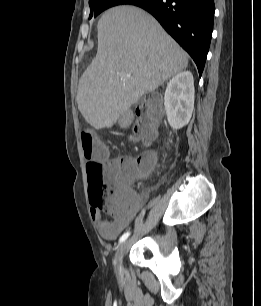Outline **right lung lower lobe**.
Instances as JSON below:
<instances>
[{
	"instance_id": "obj_1",
	"label": "right lung lower lobe",
	"mask_w": 261,
	"mask_h": 306,
	"mask_svg": "<svg viewBox=\"0 0 261 306\" xmlns=\"http://www.w3.org/2000/svg\"><path fill=\"white\" fill-rule=\"evenodd\" d=\"M151 13L195 61L201 76L209 51L214 0H135Z\"/></svg>"
}]
</instances>
